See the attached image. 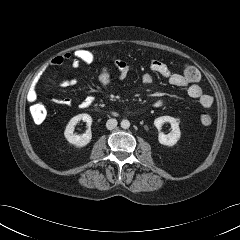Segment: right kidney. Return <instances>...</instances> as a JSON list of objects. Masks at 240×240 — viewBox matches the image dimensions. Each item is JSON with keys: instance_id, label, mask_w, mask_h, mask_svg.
<instances>
[{"instance_id": "1", "label": "right kidney", "mask_w": 240, "mask_h": 240, "mask_svg": "<svg viewBox=\"0 0 240 240\" xmlns=\"http://www.w3.org/2000/svg\"><path fill=\"white\" fill-rule=\"evenodd\" d=\"M83 120L84 122H86L88 129L87 131L82 134V135H76L73 133L74 131V126L78 123V121ZM91 124H92V118L90 115L88 114H78L76 116H74L69 123L66 126V129L64 131V136L66 138V140L76 146V147H84L87 144L90 143L91 139H92V132H91Z\"/></svg>"}]
</instances>
